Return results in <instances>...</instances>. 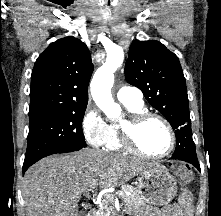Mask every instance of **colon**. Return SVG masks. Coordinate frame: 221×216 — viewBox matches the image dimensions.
<instances>
[{
    "label": "colon",
    "mask_w": 221,
    "mask_h": 216,
    "mask_svg": "<svg viewBox=\"0 0 221 216\" xmlns=\"http://www.w3.org/2000/svg\"><path fill=\"white\" fill-rule=\"evenodd\" d=\"M173 172L183 182L188 183L190 179L189 169L183 164H176L172 166Z\"/></svg>",
    "instance_id": "5ec220e1"
}]
</instances>
